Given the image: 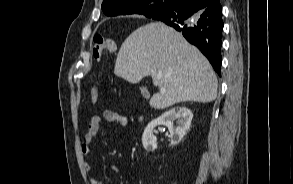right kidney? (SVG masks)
<instances>
[{
    "label": "right kidney",
    "mask_w": 293,
    "mask_h": 184,
    "mask_svg": "<svg viewBox=\"0 0 293 184\" xmlns=\"http://www.w3.org/2000/svg\"><path fill=\"white\" fill-rule=\"evenodd\" d=\"M192 118V112L186 107H177L166 111L158 118L152 120L145 128L142 135L143 147L146 150L152 151L157 149V139L153 134V130L157 125H164L168 128L171 136L170 146L178 144L189 130ZM174 120H177V126L173 125Z\"/></svg>",
    "instance_id": "ca27d5eb"
}]
</instances>
